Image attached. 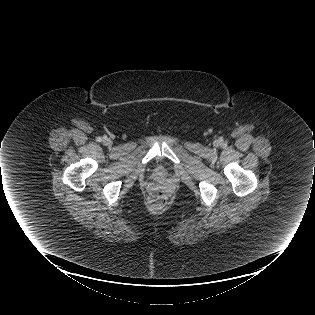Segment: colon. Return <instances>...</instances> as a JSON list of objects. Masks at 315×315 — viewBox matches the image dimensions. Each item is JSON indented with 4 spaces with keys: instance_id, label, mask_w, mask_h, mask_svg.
<instances>
[{
    "instance_id": "obj_1",
    "label": "colon",
    "mask_w": 315,
    "mask_h": 315,
    "mask_svg": "<svg viewBox=\"0 0 315 315\" xmlns=\"http://www.w3.org/2000/svg\"><path fill=\"white\" fill-rule=\"evenodd\" d=\"M167 196L163 189L154 188L149 195V203L153 208H161L166 203Z\"/></svg>"
}]
</instances>
